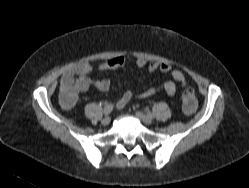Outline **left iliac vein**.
I'll return each instance as SVG.
<instances>
[{
  "mask_svg": "<svg viewBox=\"0 0 249 188\" xmlns=\"http://www.w3.org/2000/svg\"><path fill=\"white\" fill-rule=\"evenodd\" d=\"M136 114V116L141 120V121H143L145 124H152V118L150 117V116H148V115H145V114H143L142 112H136L135 113Z\"/></svg>",
  "mask_w": 249,
  "mask_h": 188,
  "instance_id": "1",
  "label": "left iliac vein"
}]
</instances>
